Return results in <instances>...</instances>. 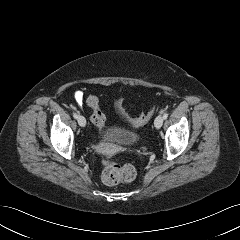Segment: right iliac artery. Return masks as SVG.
I'll use <instances>...</instances> for the list:
<instances>
[{"label": "right iliac artery", "instance_id": "right-iliac-artery-1", "mask_svg": "<svg viewBox=\"0 0 240 240\" xmlns=\"http://www.w3.org/2000/svg\"><path fill=\"white\" fill-rule=\"evenodd\" d=\"M73 117H74L75 119H78L79 115H78L77 113H73Z\"/></svg>", "mask_w": 240, "mask_h": 240}]
</instances>
